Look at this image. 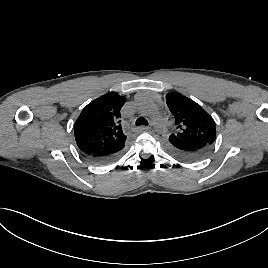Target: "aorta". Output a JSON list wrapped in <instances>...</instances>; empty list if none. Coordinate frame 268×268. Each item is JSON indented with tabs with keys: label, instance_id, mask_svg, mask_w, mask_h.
Listing matches in <instances>:
<instances>
[{
	"label": "aorta",
	"instance_id": "762f6f07",
	"mask_svg": "<svg viewBox=\"0 0 268 268\" xmlns=\"http://www.w3.org/2000/svg\"><path fill=\"white\" fill-rule=\"evenodd\" d=\"M137 108L141 114L149 117L155 124L153 128L154 135L157 137L164 136L166 133V120L159 112L156 101L150 95H141L137 99Z\"/></svg>",
	"mask_w": 268,
	"mask_h": 268
}]
</instances>
